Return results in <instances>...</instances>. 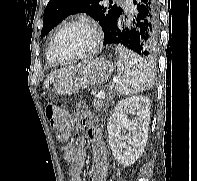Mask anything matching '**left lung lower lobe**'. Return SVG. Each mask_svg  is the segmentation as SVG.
<instances>
[{"mask_svg":"<svg viewBox=\"0 0 197 181\" xmlns=\"http://www.w3.org/2000/svg\"><path fill=\"white\" fill-rule=\"evenodd\" d=\"M158 0H133L134 14L123 12L108 27L104 44L121 45L144 56H153L158 48Z\"/></svg>","mask_w":197,"mask_h":181,"instance_id":"left-lung-lower-lobe-1","label":"left lung lower lobe"}]
</instances>
